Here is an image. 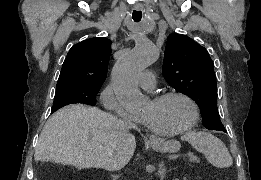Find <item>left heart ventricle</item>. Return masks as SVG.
Here are the masks:
<instances>
[{"instance_id": "left-heart-ventricle-1", "label": "left heart ventricle", "mask_w": 261, "mask_h": 180, "mask_svg": "<svg viewBox=\"0 0 261 180\" xmlns=\"http://www.w3.org/2000/svg\"><path fill=\"white\" fill-rule=\"evenodd\" d=\"M191 116L189 104L180 97L153 101L148 97L144 109L136 117L156 136H168L182 131Z\"/></svg>"}]
</instances>
